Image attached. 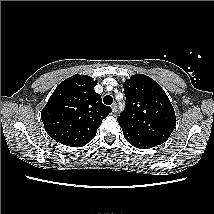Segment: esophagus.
Returning a JSON list of instances; mask_svg holds the SVG:
<instances>
[{
    "label": "esophagus",
    "instance_id": "esophagus-1",
    "mask_svg": "<svg viewBox=\"0 0 214 214\" xmlns=\"http://www.w3.org/2000/svg\"><path fill=\"white\" fill-rule=\"evenodd\" d=\"M111 108H112V111H113L114 113H116V111H117V105H116L115 103H113V104L111 105Z\"/></svg>",
    "mask_w": 214,
    "mask_h": 214
}]
</instances>
